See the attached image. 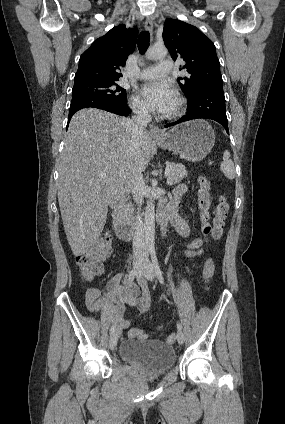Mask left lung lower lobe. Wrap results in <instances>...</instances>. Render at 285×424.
Segmentation results:
<instances>
[{
    "label": "left lung lower lobe",
    "mask_w": 285,
    "mask_h": 424,
    "mask_svg": "<svg viewBox=\"0 0 285 424\" xmlns=\"http://www.w3.org/2000/svg\"><path fill=\"white\" fill-rule=\"evenodd\" d=\"M187 104V114L176 122L166 124L165 127L193 119L206 118L219 122L229 133L223 87L204 88L198 91L191 99H188Z\"/></svg>",
    "instance_id": "left-lung-lower-lobe-1"
}]
</instances>
